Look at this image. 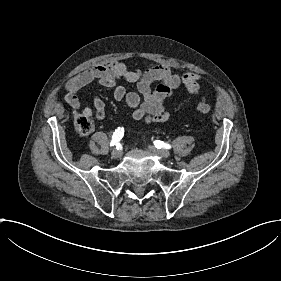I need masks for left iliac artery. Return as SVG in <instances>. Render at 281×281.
I'll use <instances>...</instances> for the list:
<instances>
[{
	"mask_svg": "<svg viewBox=\"0 0 281 281\" xmlns=\"http://www.w3.org/2000/svg\"><path fill=\"white\" fill-rule=\"evenodd\" d=\"M154 145H155V147L158 148V149H161V148L170 149V148H171V146H170L169 144L164 143L163 141H160V140H156V141L154 142Z\"/></svg>",
	"mask_w": 281,
	"mask_h": 281,
	"instance_id": "44dca946",
	"label": "left iliac artery"
}]
</instances>
